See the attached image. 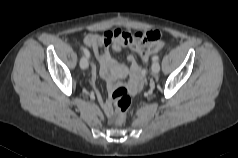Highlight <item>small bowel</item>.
Segmentation results:
<instances>
[{"mask_svg":"<svg viewBox=\"0 0 238 158\" xmlns=\"http://www.w3.org/2000/svg\"><path fill=\"white\" fill-rule=\"evenodd\" d=\"M158 33L157 31L136 32L130 34L121 29L107 31L104 34H87L83 38V44L90 47L99 62L100 76L108 80L109 87L113 86V80L130 74L131 88L137 90L143 80L144 71L132 55L127 56L128 66H124L114 60L109 52L111 48L115 53L123 47H128L133 52L139 53L144 47L150 46V41L146 39L148 34ZM159 34V33H158ZM92 76L97 73L96 65H92ZM98 98L104 111L108 114L111 110V103L104 101L100 95Z\"/></svg>","mask_w":238,"mask_h":158,"instance_id":"obj_1","label":"small bowel"}]
</instances>
